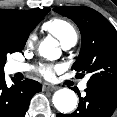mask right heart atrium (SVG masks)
<instances>
[{"label": "right heart atrium", "instance_id": "1", "mask_svg": "<svg viewBox=\"0 0 117 117\" xmlns=\"http://www.w3.org/2000/svg\"><path fill=\"white\" fill-rule=\"evenodd\" d=\"M35 41V34H31L27 39V44L30 45Z\"/></svg>", "mask_w": 117, "mask_h": 117}]
</instances>
